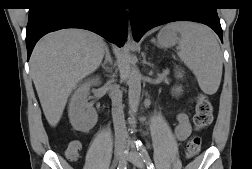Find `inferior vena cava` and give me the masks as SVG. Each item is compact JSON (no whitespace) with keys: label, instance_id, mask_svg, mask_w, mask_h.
<instances>
[{"label":"inferior vena cava","instance_id":"1","mask_svg":"<svg viewBox=\"0 0 252 169\" xmlns=\"http://www.w3.org/2000/svg\"><path fill=\"white\" fill-rule=\"evenodd\" d=\"M110 97L112 100V118L115 131V147L123 148L126 143L127 130L122 106V92L114 80L108 82Z\"/></svg>","mask_w":252,"mask_h":169}]
</instances>
